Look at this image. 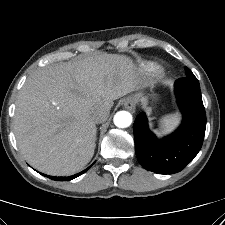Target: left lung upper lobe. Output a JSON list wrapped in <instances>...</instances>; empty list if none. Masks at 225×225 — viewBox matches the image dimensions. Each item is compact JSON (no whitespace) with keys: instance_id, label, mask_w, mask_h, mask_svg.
<instances>
[{"instance_id":"5c2ea615","label":"left lung upper lobe","mask_w":225,"mask_h":225,"mask_svg":"<svg viewBox=\"0 0 225 225\" xmlns=\"http://www.w3.org/2000/svg\"><path fill=\"white\" fill-rule=\"evenodd\" d=\"M185 72H186V76L188 78H192V79H197L194 74L192 73V71L190 69H188L187 67L185 68Z\"/></svg>"}]
</instances>
